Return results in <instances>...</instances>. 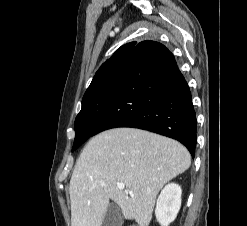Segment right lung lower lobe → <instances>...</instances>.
<instances>
[{
    "instance_id": "right-lung-lower-lobe-1",
    "label": "right lung lower lobe",
    "mask_w": 247,
    "mask_h": 226,
    "mask_svg": "<svg viewBox=\"0 0 247 226\" xmlns=\"http://www.w3.org/2000/svg\"><path fill=\"white\" fill-rule=\"evenodd\" d=\"M196 126L190 89L173 54L159 42L143 41L91 136L116 127L149 130L178 140L194 157Z\"/></svg>"
}]
</instances>
